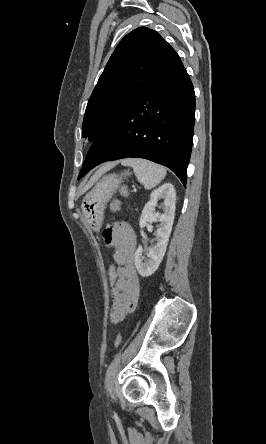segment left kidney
Masks as SVG:
<instances>
[{
  "label": "left kidney",
  "mask_w": 266,
  "mask_h": 444,
  "mask_svg": "<svg viewBox=\"0 0 266 444\" xmlns=\"http://www.w3.org/2000/svg\"><path fill=\"white\" fill-rule=\"evenodd\" d=\"M164 200V213L154 212L157 202ZM176 192L171 183H165L150 194L149 201L145 204L139 226L144 228L148 222L159 221V229L156 234V245L148 249V260L143 262V249L139 246L135 252V266L142 277L151 276L159 267L169 241L175 215Z\"/></svg>",
  "instance_id": "1"
}]
</instances>
